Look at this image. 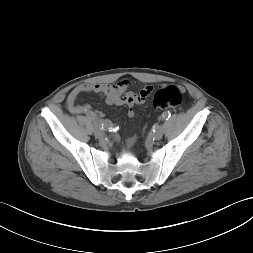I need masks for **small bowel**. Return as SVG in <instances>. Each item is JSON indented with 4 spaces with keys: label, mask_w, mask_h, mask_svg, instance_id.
Here are the masks:
<instances>
[{
    "label": "small bowel",
    "mask_w": 253,
    "mask_h": 253,
    "mask_svg": "<svg viewBox=\"0 0 253 253\" xmlns=\"http://www.w3.org/2000/svg\"><path fill=\"white\" fill-rule=\"evenodd\" d=\"M131 82L127 79L120 80L115 84H81L75 87L68 95L66 106L70 113L72 114H83L87 117L90 115H97L90 105L88 104H78V97L85 92H93L101 95L107 104L122 106L127 105L129 107L128 116H134L133 106L136 104H141L145 99L151 94L153 88L151 86H145L138 93H133L128 91ZM99 113V116H102ZM105 123H110L108 120ZM134 142V138H131L128 143Z\"/></svg>",
    "instance_id": "obj_1"
}]
</instances>
